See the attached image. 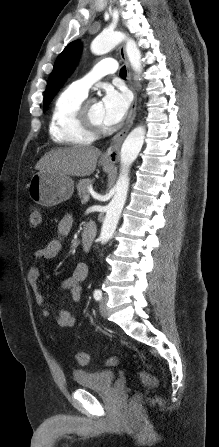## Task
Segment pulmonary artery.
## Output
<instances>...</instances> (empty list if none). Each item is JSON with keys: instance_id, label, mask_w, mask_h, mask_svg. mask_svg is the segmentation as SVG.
Masks as SVG:
<instances>
[{"instance_id": "e3ab8cb5", "label": "pulmonary artery", "mask_w": 219, "mask_h": 447, "mask_svg": "<svg viewBox=\"0 0 219 447\" xmlns=\"http://www.w3.org/2000/svg\"><path fill=\"white\" fill-rule=\"evenodd\" d=\"M116 71L117 65L114 60H102L94 67V69L89 74L73 82L70 87H72L77 92L86 95L89 88L95 81L105 75L114 74Z\"/></svg>"}]
</instances>
